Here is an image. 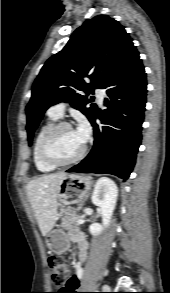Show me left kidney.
Segmentation results:
<instances>
[{"instance_id": "obj_1", "label": "left kidney", "mask_w": 170, "mask_h": 293, "mask_svg": "<svg viewBox=\"0 0 170 293\" xmlns=\"http://www.w3.org/2000/svg\"><path fill=\"white\" fill-rule=\"evenodd\" d=\"M118 197V188L113 180L107 177L100 178L94 187L92 203L100 208L102 224L93 223L89 226V232L98 236L110 224Z\"/></svg>"}]
</instances>
